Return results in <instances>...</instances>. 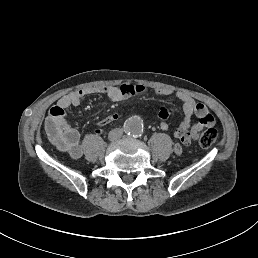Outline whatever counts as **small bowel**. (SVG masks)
Listing matches in <instances>:
<instances>
[{
	"label": "small bowel",
	"instance_id": "small-bowel-1",
	"mask_svg": "<svg viewBox=\"0 0 258 258\" xmlns=\"http://www.w3.org/2000/svg\"><path fill=\"white\" fill-rule=\"evenodd\" d=\"M145 90L146 88L143 85L122 84L120 86L92 87L71 92L61 97L49 110L45 122L47 135L59 150L68 153L72 158H80L82 156L80 134L69 124L67 120V109L79 106L84 97L90 94H105L112 101L118 102L135 94L143 93ZM154 92L161 96L175 95L182 103L184 117L175 130L177 142L174 146V151L176 154H181L182 145H189L192 141L197 140L201 130L214 126L215 119L207 107L195 101L189 94L184 92L174 93L172 90L166 88L155 89ZM169 114L167 108L161 107L159 109L158 116L161 120L160 127L163 131L169 129L167 122ZM120 117L121 115L119 113L108 115L99 122V126H107L119 120ZM193 117H196L198 121L192 124L191 120Z\"/></svg>",
	"mask_w": 258,
	"mask_h": 258
}]
</instances>
